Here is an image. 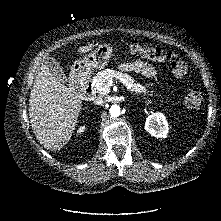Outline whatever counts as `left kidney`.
<instances>
[{
  "instance_id": "obj_1",
  "label": "left kidney",
  "mask_w": 221,
  "mask_h": 221,
  "mask_svg": "<svg viewBox=\"0 0 221 221\" xmlns=\"http://www.w3.org/2000/svg\"><path fill=\"white\" fill-rule=\"evenodd\" d=\"M145 130L157 138H166L168 135V123L163 113L157 112L146 118Z\"/></svg>"
}]
</instances>
